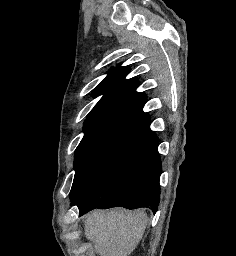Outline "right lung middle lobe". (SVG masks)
<instances>
[{"mask_svg": "<svg viewBox=\"0 0 236 256\" xmlns=\"http://www.w3.org/2000/svg\"><path fill=\"white\" fill-rule=\"evenodd\" d=\"M150 123L119 117L85 122L84 137L75 151V177L70 192L75 198L111 159L146 134Z\"/></svg>", "mask_w": 236, "mask_h": 256, "instance_id": "dd1d6c3e", "label": "right lung middle lobe"}]
</instances>
